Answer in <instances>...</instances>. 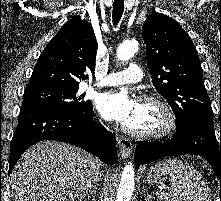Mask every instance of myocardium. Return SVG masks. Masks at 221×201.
I'll return each mask as SVG.
<instances>
[{"label":"myocardium","mask_w":221,"mask_h":201,"mask_svg":"<svg viewBox=\"0 0 221 201\" xmlns=\"http://www.w3.org/2000/svg\"><path fill=\"white\" fill-rule=\"evenodd\" d=\"M137 103H151L155 105L162 116V125L156 130H137L126 124L123 125V129L130 135L139 137V138H152L158 139L170 135L176 126L175 115L169 106V104L160 96L154 94H144L137 98Z\"/></svg>","instance_id":"myocardium-1"}]
</instances>
